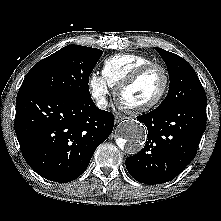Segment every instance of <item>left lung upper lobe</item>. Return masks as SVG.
I'll use <instances>...</instances> for the list:
<instances>
[{
  "instance_id": "obj_1",
  "label": "left lung upper lobe",
  "mask_w": 221,
  "mask_h": 221,
  "mask_svg": "<svg viewBox=\"0 0 221 221\" xmlns=\"http://www.w3.org/2000/svg\"><path fill=\"white\" fill-rule=\"evenodd\" d=\"M167 65L170 87L159 106L177 107L188 102H206V93L193 67L182 57L155 47Z\"/></svg>"
}]
</instances>
